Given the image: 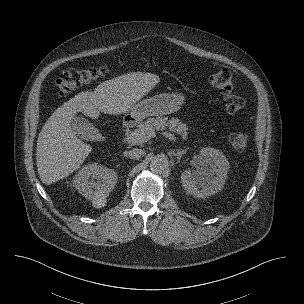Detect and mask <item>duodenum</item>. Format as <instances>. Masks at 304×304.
Here are the masks:
<instances>
[{
	"mask_svg": "<svg viewBox=\"0 0 304 304\" xmlns=\"http://www.w3.org/2000/svg\"><path fill=\"white\" fill-rule=\"evenodd\" d=\"M134 124V119L133 118H127L125 121H124V127L126 129L132 127V125Z\"/></svg>",
	"mask_w": 304,
	"mask_h": 304,
	"instance_id": "obj_1",
	"label": "duodenum"
}]
</instances>
